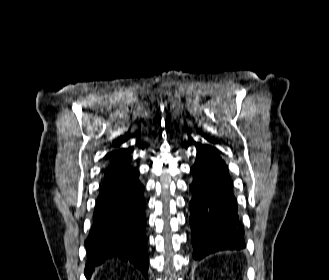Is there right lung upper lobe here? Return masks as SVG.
<instances>
[{"label": "right lung upper lobe", "mask_w": 329, "mask_h": 280, "mask_svg": "<svg viewBox=\"0 0 329 280\" xmlns=\"http://www.w3.org/2000/svg\"><path fill=\"white\" fill-rule=\"evenodd\" d=\"M109 157H110V164L124 163L131 161L130 152L127 149H122V148L112 151Z\"/></svg>", "instance_id": "cb5924a9"}]
</instances>
